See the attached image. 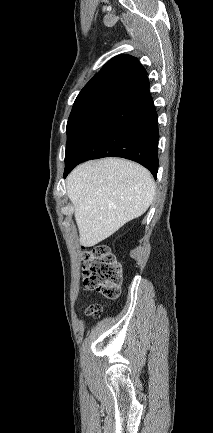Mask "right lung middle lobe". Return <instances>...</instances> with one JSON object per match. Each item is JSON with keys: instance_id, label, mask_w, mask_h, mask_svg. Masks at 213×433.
<instances>
[{"instance_id": "obj_1", "label": "right lung middle lobe", "mask_w": 213, "mask_h": 433, "mask_svg": "<svg viewBox=\"0 0 213 433\" xmlns=\"http://www.w3.org/2000/svg\"><path fill=\"white\" fill-rule=\"evenodd\" d=\"M118 94L105 93L87 97L74 102L67 123V146L66 152L73 142L81 135L88 123Z\"/></svg>"}]
</instances>
